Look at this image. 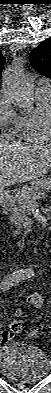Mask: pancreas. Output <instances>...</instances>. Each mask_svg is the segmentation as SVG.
<instances>
[{
	"mask_svg": "<svg viewBox=\"0 0 51 393\" xmlns=\"http://www.w3.org/2000/svg\"><path fill=\"white\" fill-rule=\"evenodd\" d=\"M51 179L42 177L33 180L31 183L13 191L8 199L9 211H11L10 220L18 228H25L31 224V220L26 214V204L30 201L27 195H33L40 190H50Z\"/></svg>",
	"mask_w": 51,
	"mask_h": 393,
	"instance_id": "pancreas-1",
	"label": "pancreas"
}]
</instances>
